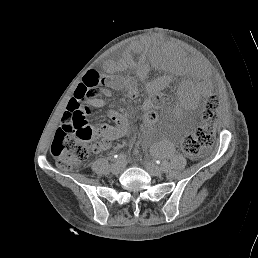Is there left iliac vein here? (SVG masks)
Here are the masks:
<instances>
[{"instance_id":"1","label":"left iliac vein","mask_w":258,"mask_h":258,"mask_svg":"<svg viewBox=\"0 0 258 258\" xmlns=\"http://www.w3.org/2000/svg\"><path fill=\"white\" fill-rule=\"evenodd\" d=\"M146 171L151 175V176H160L162 174V169L154 164L153 162L146 161L144 163Z\"/></svg>"}]
</instances>
